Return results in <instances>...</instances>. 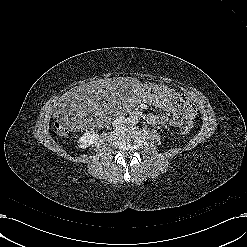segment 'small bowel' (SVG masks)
<instances>
[{
    "mask_svg": "<svg viewBox=\"0 0 247 247\" xmlns=\"http://www.w3.org/2000/svg\"><path fill=\"white\" fill-rule=\"evenodd\" d=\"M160 85L164 89L163 96L159 99H153L148 95L146 100L167 113L151 114L147 117V121L152 125L167 124L172 127L192 125L196 117V111L192 103L175 88L163 84Z\"/></svg>",
    "mask_w": 247,
    "mask_h": 247,
    "instance_id": "c3829d8e",
    "label": "small bowel"
}]
</instances>
